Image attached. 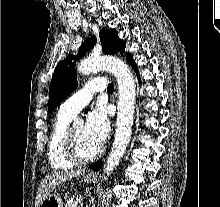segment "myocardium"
Wrapping results in <instances>:
<instances>
[{"instance_id": "f54148a6", "label": "myocardium", "mask_w": 220, "mask_h": 207, "mask_svg": "<svg viewBox=\"0 0 220 207\" xmlns=\"http://www.w3.org/2000/svg\"><path fill=\"white\" fill-rule=\"evenodd\" d=\"M63 151L65 156L74 164H86L90 163L97 158H99L103 152V148L99 147V149L91 156L83 157L78 153L74 134H73V126H68L63 136Z\"/></svg>"}]
</instances>
